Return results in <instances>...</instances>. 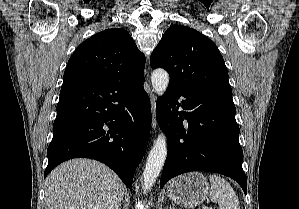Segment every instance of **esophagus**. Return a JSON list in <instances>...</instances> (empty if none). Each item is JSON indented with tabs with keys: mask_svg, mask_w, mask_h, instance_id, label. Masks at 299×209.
<instances>
[{
	"mask_svg": "<svg viewBox=\"0 0 299 209\" xmlns=\"http://www.w3.org/2000/svg\"><path fill=\"white\" fill-rule=\"evenodd\" d=\"M150 97H151V107H152V128H156V97L153 93V91H150Z\"/></svg>",
	"mask_w": 299,
	"mask_h": 209,
	"instance_id": "obj_1",
	"label": "esophagus"
}]
</instances>
